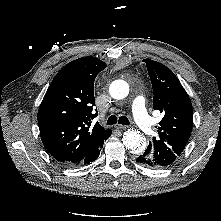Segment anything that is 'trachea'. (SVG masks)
I'll return each instance as SVG.
<instances>
[{
    "label": "trachea",
    "instance_id": "1",
    "mask_svg": "<svg viewBox=\"0 0 221 221\" xmlns=\"http://www.w3.org/2000/svg\"><path fill=\"white\" fill-rule=\"evenodd\" d=\"M117 122L122 125L130 124L128 118L125 116H120L119 118H117L115 115H111L107 120V125H113L116 124Z\"/></svg>",
    "mask_w": 221,
    "mask_h": 221
}]
</instances>
